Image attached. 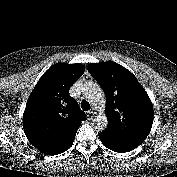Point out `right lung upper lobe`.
I'll use <instances>...</instances> for the list:
<instances>
[{
    "label": "right lung upper lobe",
    "instance_id": "1",
    "mask_svg": "<svg viewBox=\"0 0 177 177\" xmlns=\"http://www.w3.org/2000/svg\"><path fill=\"white\" fill-rule=\"evenodd\" d=\"M84 70L82 64L58 63L39 79L23 115L26 136L34 146L54 152L74 141L85 115L68 91Z\"/></svg>",
    "mask_w": 177,
    "mask_h": 177
}]
</instances>
